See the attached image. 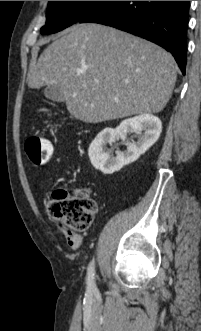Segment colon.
Instances as JSON below:
<instances>
[{
    "instance_id": "colon-1",
    "label": "colon",
    "mask_w": 201,
    "mask_h": 331,
    "mask_svg": "<svg viewBox=\"0 0 201 331\" xmlns=\"http://www.w3.org/2000/svg\"><path fill=\"white\" fill-rule=\"evenodd\" d=\"M24 149L30 161L35 165H44L52 157L50 141L39 136H29ZM97 205L89 191L82 189L78 196H70L66 190H55L48 202V210L54 220L63 223L74 231H85L92 223Z\"/></svg>"
}]
</instances>
